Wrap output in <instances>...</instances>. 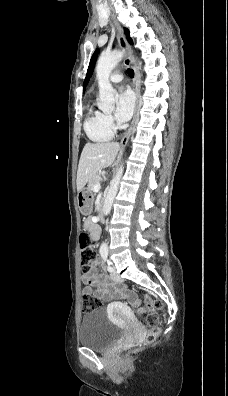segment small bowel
<instances>
[{"mask_svg": "<svg viewBox=\"0 0 228 396\" xmlns=\"http://www.w3.org/2000/svg\"><path fill=\"white\" fill-rule=\"evenodd\" d=\"M84 228L89 232L92 241H96L99 238L100 230L95 224L92 218H88L85 221ZM97 266V261L93 263V271L91 273L85 274L82 280L85 284L83 288V293H93L98 298L103 301L110 302L114 299H126L133 306L139 305V300L134 292L126 289L123 286H118L111 282L108 277L98 273L95 269ZM95 287V290H93ZM121 308L129 310L128 307L122 303H119Z\"/></svg>", "mask_w": 228, "mask_h": 396, "instance_id": "small-bowel-1", "label": "small bowel"}]
</instances>
